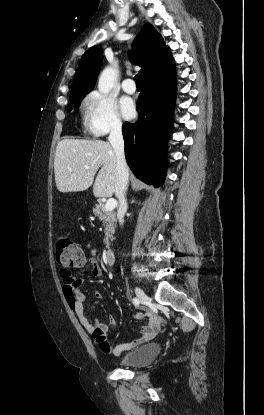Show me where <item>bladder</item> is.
Segmentation results:
<instances>
[{
	"label": "bladder",
	"instance_id": "bladder-1",
	"mask_svg": "<svg viewBox=\"0 0 264 415\" xmlns=\"http://www.w3.org/2000/svg\"><path fill=\"white\" fill-rule=\"evenodd\" d=\"M161 352L158 344L152 343L144 345L128 354H126L117 363L121 366L141 368L151 364Z\"/></svg>",
	"mask_w": 264,
	"mask_h": 415
}]
</instances>
